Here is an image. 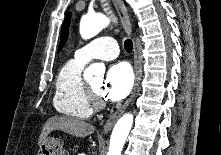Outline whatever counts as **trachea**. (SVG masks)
I'll return each mask as SVG.
<instances>
[{
    "label": "trachea",
    "instance_id": "1",
    "mask_svg": "<svg viewBox=\"0 0 221 155\" xmlns=\"http://www.w3.org/2000/svg\"><path fill=\"white\" fill-rule=\"evenodd\" d=\"M124 48L128 53H131L133 48V43L130 39L125 40L124 42Z\"/></svg>",
    "mask_w": 221,
    "mask_h": 155
}]
</instances>
